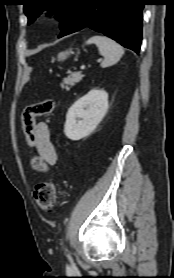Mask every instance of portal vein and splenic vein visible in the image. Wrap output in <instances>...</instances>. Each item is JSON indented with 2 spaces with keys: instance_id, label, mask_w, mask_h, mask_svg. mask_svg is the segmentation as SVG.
<instances>
[{
  "instance_id": "portal-vein-and-splenic-vein-1",
  "label": "portal vein and splenic vein",
  "mask_w": 174,
  "mask_h": 278,
  "mask_svg": "<svg viewBox=\"0 0 174 278\" xmlns=\"http://www.w3.org/2000/svg\"><path fill=\"white\" fill-rule=\"evenodd\" d=\"M100 61H101V59L98 60V62H100ZM80 69H81V70H84V69H85V66L82 65V66L80 67Z\"/></svg>"
}]
</instances>
